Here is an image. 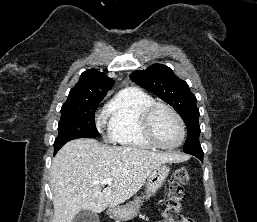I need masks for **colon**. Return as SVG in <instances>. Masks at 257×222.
Instances as JSON below:
<instances>
[{
    "mask_svg": "<svg viewBox=\"0 0 257 222\" xmlns=\"http://www.w3.org/2000/svg\"><path fill=\"white\" fill-rule=\"evenodd\" d=\"M189 180L188 171L178 168L173 172L168 186L167 199L162 211L161 222H181L182 202L185 199V185Z\"/></svg>",
    "mask_w": 257,
    "mask_h": 222,
    "instance_id": "obj_1",
    "label": "colon"
}]
</instances>
